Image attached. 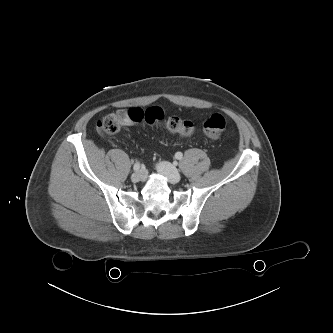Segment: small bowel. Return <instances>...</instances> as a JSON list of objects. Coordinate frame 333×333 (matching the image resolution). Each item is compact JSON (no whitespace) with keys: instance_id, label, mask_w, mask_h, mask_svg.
Listing matches in <instances>:
<instances>
[{"instance_id":"c3829d8e","label":"small bowel","mask_w":333,"mask_h":333,"mask_svg":"<svg viewBox=\"0 0 333 333\" xmlns=\"http://www.w3.org/2000/svg\"><path fill=\"white\" fill-rule=\"evenodd\" d=\"M126 112L129 114V121L126 125L133 124H147L154 125L153 121L155 119L163 120L164 112L159 107H151L146 110L141 108H129L126 109Z\"/></svg>"}]
</instances>
